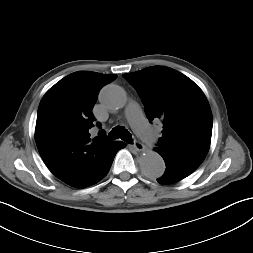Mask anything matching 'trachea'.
<instances>
[{"instance_id": "trachea-1", "label": "trachea", "mask_w": 253, "mask_h": 253, "mask_svg": "<svg viewBox=\"0 0 253 253\" xmlns=\"http://www.w3.org/2000/svg\"><path fill=\"white\" fill-rule=\"evenodd\" d=\"M121 138L123 141L132 144V134L125 129L123 126H116L112 129V131L108 134V140H115Z\"/></svg>"}]
</instances>
